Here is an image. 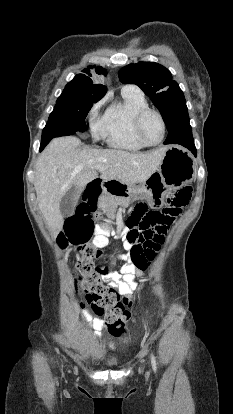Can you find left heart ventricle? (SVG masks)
Instances as JSON below:
<instances>
[{
  "mask_svg": "<svg viewBox=\"0 0 233 414\" xmlns=\"http://www.w3.org/2000/svg\"><path fill=\"white\" fill-rule=\"evenodd\" d=\"M143 131L149 141H159L162 136V126L159 118L154 114L148 115L143 123Z\"/></svg>",
  "mask_w": 233,
  "mask_h": 414,
  "instance_id": "b2bd125f",
  "label": "left heart ventricle"
}]
</instances>
